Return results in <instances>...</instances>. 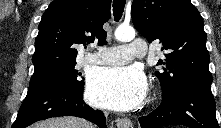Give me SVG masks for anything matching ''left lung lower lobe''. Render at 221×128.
<instances>
[{
	"label": "left lung lower lobe",
	"instance_id": "0a47b994",
	"mask_svg": "<svg viewBox=\"0 0 221 128\" xmlns=\"http://www.w3.org/2000/svg\"><path fill=\"white\" fill-rule=\"evenodd\" d=\"M211 87L191 86L162 103L149 115L140 117L142 128L185 125L190 128H219Z\"/></svg>",
	"mask_w": 221,
	"mask_h": 128
}]
</instances>
